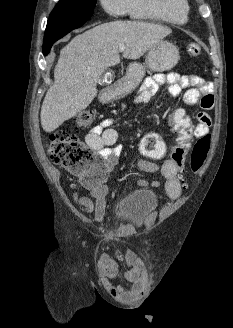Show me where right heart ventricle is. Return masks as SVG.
<instances>
[{"label": "right heart ventricle", "instance_id": "right-heart-ventricle-1", "mask_svg": "<svg viewBox=\"0 0 233 328\" xmlns=\"http://www.w3.org/2000/svg\"><path fill=\"white\" fill-rule=\"evenodd\" d=\"M189 10L187 0H127V12L134 19L182 25Z\"/></svg>", "mask_w": 233, "mask_h": 328}]
</instances>
